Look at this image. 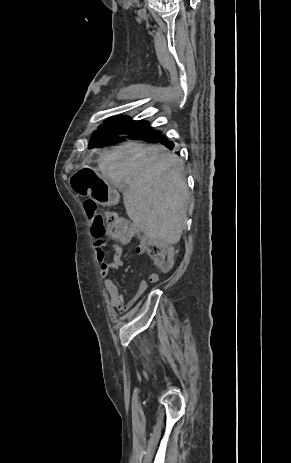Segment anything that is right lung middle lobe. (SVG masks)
<instances>
[{"label": "right lung middle lobe", "instance_id": "1", "mask_svg": "<svg viewBox=\"0 0 291 463\" xmlns=\"http://www.w3.org/2000/svg\"><path fill=\"white\" fill-rule=\"evenodd\" d=\"M161 132L154 131L147 121H133L126 117H113L104 122L91 138L89 148L121 143L127 139L146 140Z\"/></svg>", "mask_w": 291, "mask_h": 463}]
</instances>
